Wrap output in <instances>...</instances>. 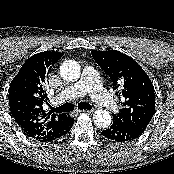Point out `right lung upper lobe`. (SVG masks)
Masks as SVG:
<instances>
[{
    "label": "right lung upper lobe",
    "instance_id": "right-lung-upper-lobe-1",
    "mask_svg": "<svg viewBox=\"0 0 174 174\" xmlns=\"http://www.w3.org/2000/svg\"><path fill=\"white\" fill-rule=\"evenodd\" d=\"M64 53L44 51L28 58L9 88L10 112L23 132L38 141L52 140L73 123L69 114H51L43 109L47 78Z\"/></svg>",
    "mask_w": 174,
    "mask_h": 174
}]
</instances>
